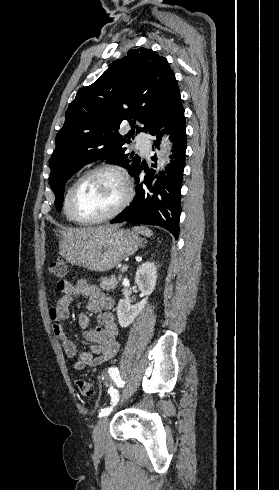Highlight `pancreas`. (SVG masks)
<instances>
[{"instance_id":"obj_1","label":"pancreas","mask_w":279,"mask_h":490,"mask_svg":"<svg viewBox=\"0 0 279 490\" xmlns=\"http://www.w3.org/2000/svg\"><path fill=\"white\" fill-rule=\"evenodd\" d=\"M120 278H122V274H119L118 278H116V276H111V278H101V280H99L100 288H103V290H114Z\"/></svg>"}]
</instances>
